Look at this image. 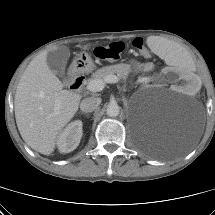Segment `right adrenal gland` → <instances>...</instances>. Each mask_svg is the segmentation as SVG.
Segmentation results:
<instances>
[{"mask_svg":"<svg viewBox=\"0 0 215 215\" xmlns=\"http://www.w3.org/2000/svg\"><path fill=\"white\" fill-rule=\"evenodd\" d=\"M81 114L88 116V114L81 112Z\"/></svg>","mask_w":215,"mask_h":215,"instance_id":"2a0ac1e0","label":"right adrenal gland"}]
</instances>
